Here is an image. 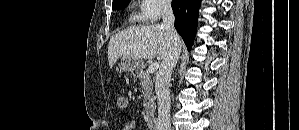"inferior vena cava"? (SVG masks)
I'll use <instances>...</instances> for the list:
<instances>
[{"instance_id":"inferior-vena-cava-1","label":"inferior vena cava","mask_w":299,"mask_h":130,"mask_svg":"<svg viewBox=\"0 0 299 130\" xmlns=\"http://www.w3.org/2000/svg\"><path fill=\"white\" fill-rule=\"evenodd\" d=\"M174 14L171 3L167 2L163 8V22L161 26L167 31L170 50L162 61L155 79V91L158 103L157 130H170V92L169 82L171 73L176 66L181 53V40L174 28Z\"/></svg>"}]
</instances>
